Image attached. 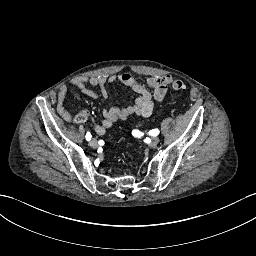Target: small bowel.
I'll list each match as a JSON object with an SVG mask.
<instances>
[{"mask_svg": "<svg viewBox=\"0 0 256 256\" xmlns=\"http://www.w3.org/2000/svg\"><path fill=\"white\" fill-rule=\"evenodd\" d=\"M117 82L129 87L137 94V98L132 105L104 109L102 121L94 125V130L99 136H104L107 129L118 120H125L134 114L145 118L149 117L153 112L155 103H160L165 99L172 78L168 75L155 76L143 84L130 73L124 72L117 75L79 77L73 79L70 84L90 97L97 96L93 87H98L99 95L102 98L113 99L109 92V86ZM148 88H151L152 92ZM66 95L67 87L61 86L57 93L56 108L61 116L68 118L70 114L65 106ZM88 114L86 110L79 113L83 117L88 116Z\"/></svg>", "mask_w": 256, "mask_h": 256, "instance_id": "1", "label": "small bowel"}]
</instances>
